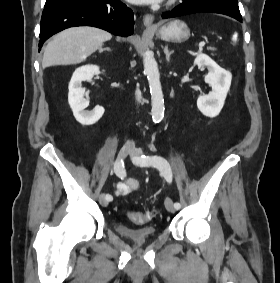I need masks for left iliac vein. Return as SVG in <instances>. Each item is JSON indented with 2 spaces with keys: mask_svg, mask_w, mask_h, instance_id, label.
<instances>
[{
  "mask_svg": "<svg viewBox=\"0 0 280 283\" xmlns=\"http://www.w3.org/2000/svg\"><path fill=\"white\" fill-rule=\"evenodd\" d=\"M140 155H142V150L141 149H138V148H135V149H132V151L130 152V156L133 160V162L136 164V165H141L139 164L138 162V158L140 157ZM142 166V165H141ZM165 207L166 209L169 211V212H175L176 208L174 207V204H173V201L170 199V198H166L165 199Z\"/></svg>",
  "mask_w": 280,
  "mask_h": 283,
  "instance_id": "1",
  "label": "left iliac vein"
}]
</instances>
